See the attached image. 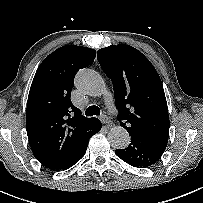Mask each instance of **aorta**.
<instances>
[{
  "label": "aorta",
  "mask_w": 203,
  "mask_h": 203,
  "mask_svg": "<svg viewBox=\"0 0 203 203\" xmlns=\"http://www.w3.org/2000/svg\"><path fill=\"white\" fill-rule=\"evenodd\" d=\"M77 89L89 96H100L106 90L102 77L90 69H82L76 75ZM108 141L114 149H125L130 143V136L127 130L121 126H114L108 133Z\"/></svg>",
  "instance_id": "762f6f07"
}]
</instances>
